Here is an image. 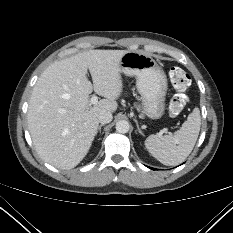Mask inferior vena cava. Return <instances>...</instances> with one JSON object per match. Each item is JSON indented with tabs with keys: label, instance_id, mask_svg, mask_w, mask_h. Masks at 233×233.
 <instances>
[{
	"label": "inferior vena cava",
	"instance_id": "obj_1",
	"mask_svg": "<svg viewBox=\"0 0 233 233\" xmlns=\"http://www.w3.org/2000/svg\"><path fill=\"white\" fill-rule=\"evenodd\" d=\"M113 119L112 113L110 111H102L98 116V121L104 125L110 123Z\"/></svg>",
	"mask_w": 233,
	"mask_h": 233
}]
</instances>
